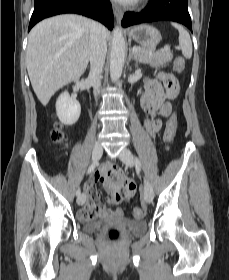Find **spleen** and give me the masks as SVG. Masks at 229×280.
I'll use <instances>...</instances> for the list:
<instances>
[{
    "instance_id": "obj_1",
    "label": "spleen",
    "mask_w": 229,
    "mask_h": 280,
    "mask_svg": "<svg viewBox=\"0 0 229 280\" xmlns=\"http://www.w3.org/2000/svg\"><path fill=\"white\" fill-rule=\"evenodd\" d=\"M179 31V46L185 58L190 59L192 56V42L189 33L179 24L172 23Z\"/></svg>"
}]
</instances>
